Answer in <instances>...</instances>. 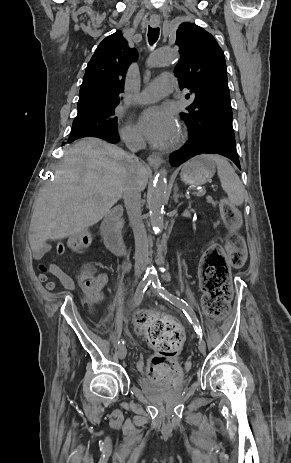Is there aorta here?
<instances>
[{
	"instance_id": "762f6f07",
	"label": "aorta",
	"mask_w": 291,
	"mask_h": 463,
	"mask_svg": "<svg viewBox=\"0 0 291 463\" xmlns=\"http://www.w3.org/2000/svg\"><path fill=\"white\" fill-rule=\"evenodd\" d=\"M178 58V52L173 48H162L157 50L147 61V67L157 68L171 64ZM167 172L162 169L160 175L155 179L148 193L150 219L155 231H161L164 226L163 212L168 197ZM146 274L149 277L154 275V270L148 268Z\"/></svg>"
}]
</instances>
